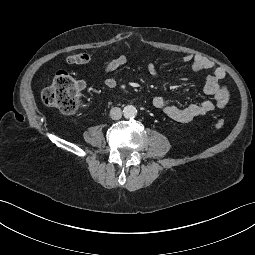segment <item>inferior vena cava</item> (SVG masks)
Masks as SVG:
<instances>
[{
    "mask_svg": "<svg viewBox=\"0 0 255 255\" xmlns=\"http://www.w3.org/2000/svg\"><path fill=\"white\" fill-rule=\"evenodd\" d=\"M110 117L113 120H119L122 117V110L118 107H114L110 110Z\"/></svg>",
    "mask_w": 255,
    "mask_h": 255,
    "instance_id": "602c4592",
    "label": "inferior vena cava"
}]
</instances>
